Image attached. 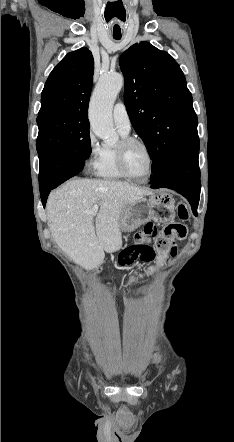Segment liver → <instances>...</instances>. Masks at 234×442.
<instances>
[{
    "label": "liver",
    "instance_id": "6515ba94",
    "mask_svg": "<svg viewBox=\"0 0 234 442\" xmlns=\"http://www.w3.org/2000/svg\"><path fill=\"white\" fill-rule=\"evenodd\" d=\"M150 194L151 190L126 182L70 180L49 195L46 210L51 234L76 264L93 270L103 262L105 252L122 246L119 220L123 208ZM94 205L100 207L95 222L90 213Z\"/></svg>",
    "mask_w": 234,
    "mask_h": 442
}]
</instances>
